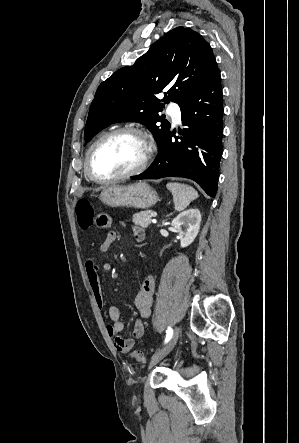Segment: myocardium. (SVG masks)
I'll return each mask as SVG.
<instances>
[{
    "label": "myocardium",
    "mask_w": 299,
    "mask_h": 443,
    "mask_svg": "<svg viewBox=\"0 0 299 443\" xmlns=\"http://www.w3.org/2000/svg\"><path fill=\"white\" fill-rule=\"evenodd\" d=\"M119 134H134L136 136H138L140 138V140L142 141L143 145H144V154L142 157L141 162L135 166L134 168L113 176V177H109V178H100L98 177L94 171H93V167H92V157L93 154L96 150V148L105 140L119 135ZM154 152V145L153 142L151 141V139L148 137V135L141 129L137 128V127H121V128H116L113 129L109 132L104 133L103 135H101L89 148L87 155H86V171L87 174L89 176V178L99 184H110V183H114V182H118L120 180H124L126 178L135 176L137 174H140L141 172H143L149 165L152 155Z\"/></svg>",
    "instance_id": "1"
}]
</instances>
